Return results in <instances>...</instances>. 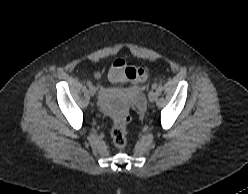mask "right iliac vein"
Instances as JSON below:
<instances>
[{"label":"right iliac vein","mask_w":248,"mask_h":194,"mask_svg":"<svg viewBox=\"0 0 248 194\" xmlns=\"http://www.w3.org/2000/svg\"><path fill=\"white\" fill-rule=\"evenodd\" d=\"M89 93L91 96H94L96 94V88L94 86H90Z\"/></svg>","instance_id":"right-iliac-vein-1"}]
</instances>
